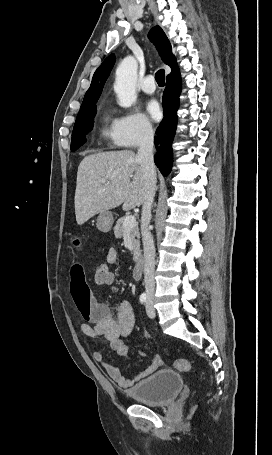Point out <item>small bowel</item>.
<instances>
[{"label":"small bowel","mask_w":272,"mask_h":455,"mask_svg":"<svg viewBox=\"0 0 272 455\" xmlns=\"http://www.w3.org/2000/svg\"><path fill=\"white\" fill-rule=\"evenodd\" d=\"M106 260L109 265L116 264L118 262L117 251L110 249L106 255ZM113 281L114 279L109 284H112ZM70 291L82 318L79 324L81 332L89 337L104 336L119 354H127L128 345L125 343V338L131 334L135 325V316L131 304L123 301L117 305L115 310H112L108 305L97 302L87 283L84 271L78 264L71 268ZM93 359L122 388L133 386L137 381L147 377L163 364L162 358L155 355L149 367L134 378H127L119 368L108 362L100 351L93 353Z\"/></svg>","instance_id":"1"}]
</instances>
